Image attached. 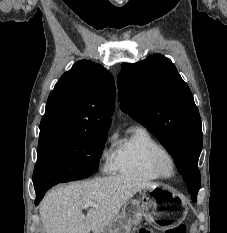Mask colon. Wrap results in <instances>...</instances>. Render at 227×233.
I'll list each match as a JSON object with an SVG mask.
<instances>
[{"label":"colon","mask_w":227,"mask_h":233,"mask_svg":"<svg viewBox=\"0 0 227 233\" xmlns=\"http://www.w3.org/2000/svg\"><path fill=\"white\" fill-rule=\"evenodd\" d=\"M139 233H156L150 228H142L139 230ZM165 233H186V228L184 225L176 226L172 229L165 231Z\"/></svg>","instance_id":"colon-1"}]
</instances>
